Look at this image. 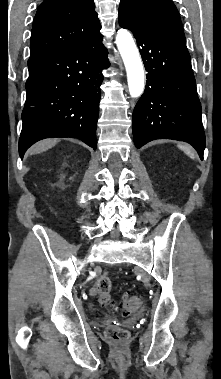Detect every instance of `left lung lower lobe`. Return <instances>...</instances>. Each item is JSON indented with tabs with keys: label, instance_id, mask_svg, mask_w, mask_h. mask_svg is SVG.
I'll return each mask as SVG.
<instances>
[{
	"label": "left lung lower lobe",
	"instance_id": "0a47b994",
	"mask_svg": "<svg viewBox=\"0 0 221 379\" xmlns=\"http://www.w3.org/2000/svg\"><path fill=\"white\" fill-rule=\"evenodd\" d=\"M118 20L133 33L148 72L144 94L133 112L136 147L155 139L181 140L190 143L202 160V109L185 39L144 26L124 8H119Z\"/></svg>",
	"mask_w": 221,
	"mask_h": 379
}]
</instances>
